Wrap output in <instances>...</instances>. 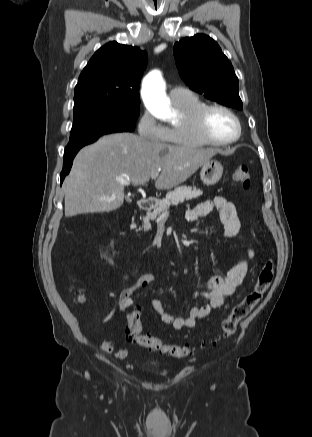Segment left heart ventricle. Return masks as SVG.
Wrapping results in <instances>:
<instances>
[{"label": "left heart ventricle", "instance_id": "b2bd125f", "mask_svg": "<svg viewBox=\"0 0 312 437\" xmlns=\"http://www.w3.org/2000/svg\"><path fill=\"white\" fill-rule=\"evenodd\" d=\"M206 129L209 135L217 140H226L237 132L234 119L221 110H213L206 119Z\"/></svg>", "mask_w": 312, "mask_h": 437}]
</instances>
